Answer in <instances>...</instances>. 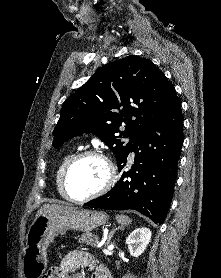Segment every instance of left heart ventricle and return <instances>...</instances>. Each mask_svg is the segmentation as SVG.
<instances>
[{
	"label": "left heart ventricle",
	"mask_w": 221,
	"mask_h": 278,
	"mask_svg": "<svg viewBox=\"0 0 221 278\" xmlns=\"http://www.w3.org/2000/svg\"><path fill=\"white\" fill-rule=\"evenodd\" d=\"M105 164L96 157H84L71 167L67 186L69 194L76 199L98 190L106 180Z\"/></svg>",
	"instance_id": "1"
}]
</instances>
